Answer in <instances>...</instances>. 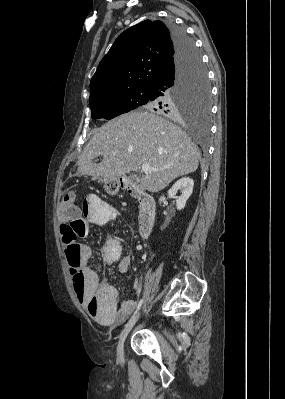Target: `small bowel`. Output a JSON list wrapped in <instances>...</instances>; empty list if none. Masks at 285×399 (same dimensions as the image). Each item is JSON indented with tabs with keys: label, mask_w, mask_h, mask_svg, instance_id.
<instances>
[{
	"label": "small bowel",
	"mask_w": 285,
	"mask_h": 399,
	"mask_svg": "<svg viewBox=\"0 0 285 399\" xmlns=\"http://www.w3.org/2000/svg\"><path fill=\"white\" fill-rule=\"evenodd\" d=\"M80 217L84 226L80 229V236L88 234L91 226H103L108 221V207L104 202L95 195H90L85 198L81 204ZM80 261L79 268L83 272L84 286L82 291L75 292L78 300L85 306L88 313L97 322L103 324H121L131 313L135 310L137 304L133 299L124 300L119 307H117V292L108 284L101 285L98 274L89 267L90 259L94 254V250L88 246L80 244ZM104 259L107 262L115 261L114 254L104 252ZM68 266L71 270V265ZM131 259L124 256L118 260V269L121 273L129 276V267ZM133 288L138 291L140 283L134 280ZM94 301H100L101 304L93 306Z\"/></svg>",
	"instance_id": "obj_1"
}]
</instances>
